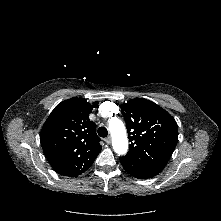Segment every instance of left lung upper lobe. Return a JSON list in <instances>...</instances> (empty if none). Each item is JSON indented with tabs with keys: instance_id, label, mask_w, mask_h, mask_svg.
I'll return each instance as SVG.
<instances>
[{
	"instance_id": "5c2ea615",
	"label": "left lung upper lobe",
	"mask_w": 221,
	"mask_h": 221,
	"mask_svg": "<svg viewBox=\"0 0 221 221\" xmlns=\"http://www.w3.org/2000/svg\"><path fill=\"white\" fill-rule=\"evenodd\" d=\"M120 108L131 142L129 152L120 159L139 166H166L178 139L175 119L154 102L143 98H134L121 104Z\"/></svg>"
}]
</instances>
